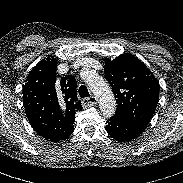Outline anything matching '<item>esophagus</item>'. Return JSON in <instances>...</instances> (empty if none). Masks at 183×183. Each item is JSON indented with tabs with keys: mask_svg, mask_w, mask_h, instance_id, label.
Returning a JSON list of instances; mask_svg holds the SVG:
<instances>
[{
	"mask_svg": "<svg viewBox=\"0 0 183 183\" xmlns=\"http://www.w3.org/2000/svg\"><path fill=\"white\" fill-rule=\"evenodd\" d=\"M97 103V98L95 96H90L88 98L83 99L82 104L85 106H92Z\"/></svg>",
	"mask_w": 183,
	"mask_h": 183,
	"instance_id": "esophagus-1",
	"label": "esophagus"
}]
</instances>
